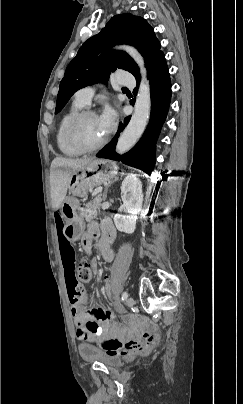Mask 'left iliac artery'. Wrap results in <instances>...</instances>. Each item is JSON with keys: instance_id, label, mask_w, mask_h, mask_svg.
<instances>
[{"instance_id": "obj_1", "label": "left iliac artery", "mask_w": 243, "mask_h": 404, "mask_svg": "<svg viewBox=\"0 0 243 404\" xmlns=\"http://www.w3.org/2000/svg\"><path fill=\"white\" fill-rule=\"evenodd\" d=\"M127 298H128V293L123 292L122 297H121L122 301H125Z\"/></svg>"}]
</instances>
